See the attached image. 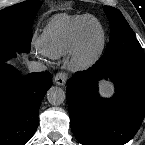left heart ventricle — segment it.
Segmentation results:
<instances>
[{"instance_id": "obj_1", "label": "left heart ventricle", "mask_w": 145, "mask_h": 145, "mask_svg": "<svg viewBox=\"0 0 145 145\" xmlns=\"http://www.w3.org/2000/svg\"><path fill=\"white\" fill-rule=\"evenodd\" d=\"M88 39L92 42V41H94L96 38H97V28H96V26L95 25H90L89 27H88Z\"/></svg>"}]
</instances>
